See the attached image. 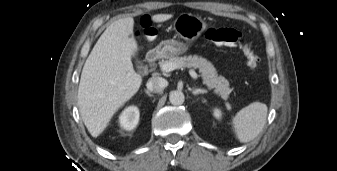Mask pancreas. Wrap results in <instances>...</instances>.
I'll return each instance as SVG.
<instances>
[{"instance_id":"cf45deb5","label":"pancreas","mask_w":337,"mask_h":171,"mask_svg":"<svg viewBox=\"0 0 337 171\" xmlns=\"http://www.w3.org/2000/svg\"><path fill=\"white\" fill-rule=\"evenodd\" d=\"M168 62L175 63L177 69L184 68H198L201 73L203 83L208 87V89H214V92L223 99H227L231 93L229 88V82L223 76L217 74L216 69L205 58L194 56H184V57H173L169 60L160 61V67Z\"/></svg>"}]
</instances>
